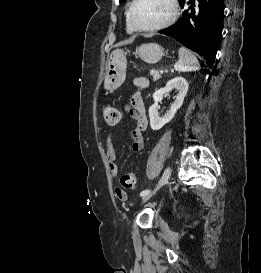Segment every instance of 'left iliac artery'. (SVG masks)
<instances>
[{"label": "left iliac artery", "instance_id": "obj_1", "mask_svg": "<svg viewBox=\"0 0 261 273\" xmlns=\"http://www.w3.org/2000/svg\"><path fill=\"white\" fill-rule=\"evenodd\" d=\"M161 182V180H160ZM160 182L159 184L157 185V187L155 189H158L160 187ZM148 193H150V190L146 189V190H143L141 193H140V196H145L147 195Z\"/></svg>", "mask_w": 261, "mask_h": 273}]
</instances>
